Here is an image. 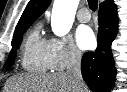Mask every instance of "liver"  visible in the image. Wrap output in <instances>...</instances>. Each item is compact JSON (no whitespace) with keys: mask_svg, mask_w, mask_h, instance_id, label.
<instances>
[{"mask_svg":"<svg viewBox=\"0 0 127 92\" xmlns=\"http://www.w3.org/2000/svg\"><path fill=\"white\" fill-rule=\"evenodd\" d=\"M79 90V91H77ZM4 92H89L82 82L78 88L66 73L18 75L6 82Z\"/></svg>","mask_w":127,"mask_h":92,"instance_id":"6515ba94","label":"liver"}]
</instances>
